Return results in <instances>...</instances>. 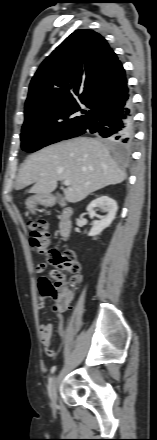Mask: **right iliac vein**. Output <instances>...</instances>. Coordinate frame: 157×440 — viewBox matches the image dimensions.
I'll return each instance as SVG.
<instances>
[{
  "mask_svg": "<svg viewBox=\"0 0 157 440\" xmlns=\"http://www.w3.org/2000/svg\"><path fill=\"white\" fill-rule=\"evenodd\" d=\"M57 388H58V379L54 377L50 384V398L53 405H56L57 400Z\"/></svg>",
  "mask_w": 157,
  "mask_h": 440,
  "instance_id": "obj_1",
  "label": "right iliac vein"
}]
</instances>
